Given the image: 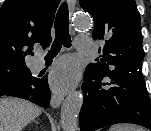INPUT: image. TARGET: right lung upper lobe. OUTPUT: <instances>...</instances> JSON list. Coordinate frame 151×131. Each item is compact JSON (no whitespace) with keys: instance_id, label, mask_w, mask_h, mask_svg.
I'll return each instance as SVG.
<instances>
[{"instance_id":"1","label":"right lung upper lobe","mask_w":151,"mask_h":131,"mask_svg":"<svg viewBox=\"0 0 151 131\" xmlns=\"http://www.w3.org/2000/svg\"><path fill=\"white\" fill-rule=\"evenodd\" d=\"M59 0H6L0 9V81L30 74L25 57L35 43L49 45Z\"/></svg>"}]
</instances>
